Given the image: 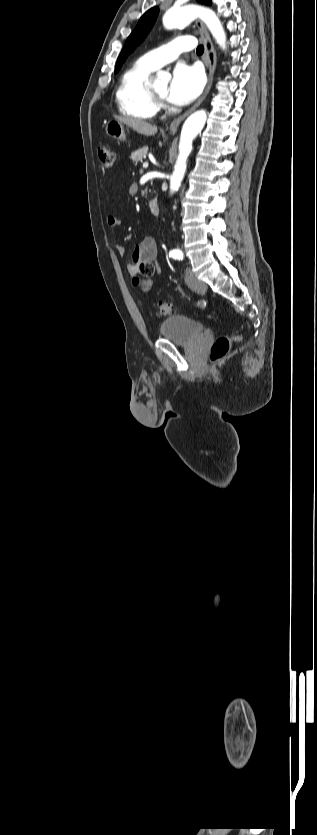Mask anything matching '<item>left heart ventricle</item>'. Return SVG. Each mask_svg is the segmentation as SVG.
<instances>
[{"mask_svg":"<svg viewBox=\"0 0 317 835\" xmlns=\"http://www.w3.org/2000/svg\"><path fill=\"white\" fill-rule=\"evenodd\" d=\"M168 87H169V86H168V83H167V82H161V83L156 84V85L153 87V89H154V90H155V91H156L159 95H161L162 97H166V96H167V94H168Z\"/></svg>","mask_w":317,"mask_h":835,"instance_id":"1","label":"left heart ventricle"}]
</instances>
